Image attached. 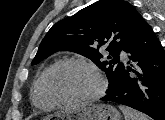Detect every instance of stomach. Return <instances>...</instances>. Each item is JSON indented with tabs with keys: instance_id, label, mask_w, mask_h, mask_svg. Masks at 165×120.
I'll return each mask as SVG.
<instances>
[{
	"instance_id": "1",
	"label": "stomach",
	"mask_w": 165,
	"mask_h": 120,
	"mask_svg": "<svg viewBox=\"0 0 165 120\" xmlns=\"http://www.w3.org/2000/svg\"><path fill=\"white\" fill-rule=\"evenodd\" d=\"M56 117L60 120H120L119 111L107 104L81 103L72 109L58 111L46 119Z\"/></svg>"
}]
</instances>
